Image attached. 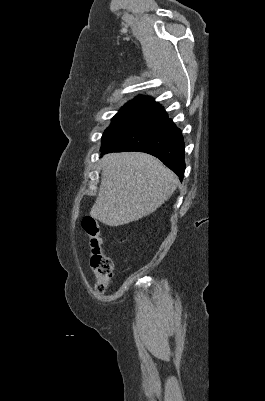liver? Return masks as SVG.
I'll return each mask as SVG.
<instances>
[{
  "instance_id": "liver-1",
  "label": "liver",
  "mask_w": 265,
  "mask_h": 401,
  "mask_svg": "<svg viewBox=\"0 0 265 401\" xmlns=\"http://www.w3.org/2000/svg\"><path fill=\"white\" fill-rule=\"evenodd\" d=\"M99 192L90 215L109 227L155 213L176 190L178 178L145 152H110L102 158Z\"/></svg>"
}]
</instances>
